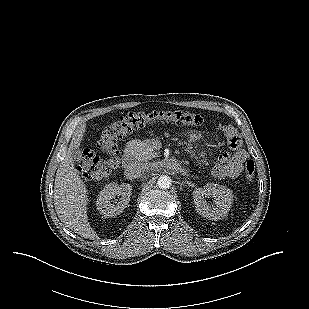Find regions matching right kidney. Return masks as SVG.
Segmentation results:
<instances>
[{"label": "right kidney", "instance_id": "ca27d5eb", "mask_svg": "<svg viewBox=\"0 0 309 309\" xmlns=\"http://www.w3.org/2000/svg\"><path fill=\"white\" fill-rule=\"evenodd\" d=\"M132 186L123 183L120 186L116 183L106 185L99 193L97 199V209L100 213L107 217H115L119 215L127 206L130 201ZM116 196H121L120 201L115 205L111 200Z\"/></svg>", "mask_w": 309, "mask_h": 309}]
</instances>
